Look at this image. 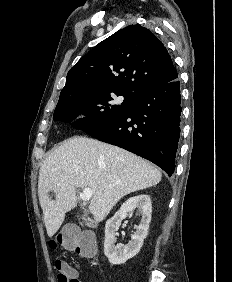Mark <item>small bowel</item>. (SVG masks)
<instances>
[{
  "instance_id": "obj_1",
  "label": "small bowel",
  "mask_w": 232,
  "mask_h": 282,
  "mask_svg": "<svg viewBox=\"0 0 232 282\" xmlns=\"http://www.w3.org/2000/svg\"><path fill=\"white\" fill-rule=\"evenodd\" d=\"M72 274L78 279V282H85V281L80 280V279L78 278V273H77V271H76L75 269H73V268H72Z\"/></svg>"
}]
</instances>
